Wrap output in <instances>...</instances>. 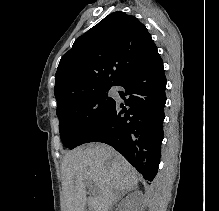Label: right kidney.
I'll return each instance as SVG.
<instances>
[{
    "mask_svg": "<svg viewBox=\"0 0 219 211\" xmlns=\"http://www.w3.org/2000/svg\"><path fill=\"white\" fill-rule=\"evenodd\" d=\"M136 195H138V197H137V199H135V209H134V211H137L138 203L141 199L140 193H136ZM141 195H142V191H141ZM132 203H133V199H131V201H128V203H126V207H131Z\"/></svg>",
    "mask_w": 219,
    "mask_h": 211,
    "instance_id": "right-kidney-1",
    "label": "right kidney"
}]
</instances>
